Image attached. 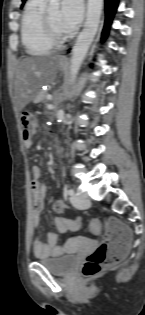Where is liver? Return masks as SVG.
Listing matches in <instances>:
<instances>
[{
    "mask_svg": "<svg viewBox=\"0 0 145 315\" xmlns=\"http://www.w3.org/2000/svg\"><path fill=\"white\" fill-rule=\"evenodd\" d=\"M62 60L60 55L23 58L16 71L14 110L21 111L35 100L45 84L52 83Z\"/></svg>",
    "mask_w": 145,
    "mask_h": 315,
    "instance_id": "obj_1",
    "label": "liver"
}]
</instances>
